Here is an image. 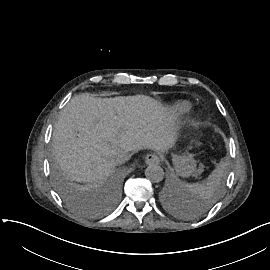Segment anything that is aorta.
<instances>
[{"label": "aorta", "instance_id": "1", "mask_svg": "<svg viewBox=\"0 0 270 270\" xmlns=\"http://www.w3.org/2000/svg\"><path fill=\"white\" fill-rule=\"evenodd\" d=\"M145 176L151 182L158 183L163 180L164 171L158 164L149 165L145 170Z\"/></svg>", "mask_w": 270, "mask_h": 270}]
</instances>
